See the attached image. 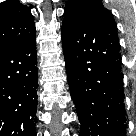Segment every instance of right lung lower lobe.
<instances>
[{
  "mask_svg": "<svg viewBox=\"0 0 136 136\" xmlns=\"http://www.w3.org/2000/svg\"><path fill=\"white\" fill-rule=\"evenodd\" d=\"M36 36L0 48V136H35Z\"/></svg>",
  "mask_w": 136,
  "mask_h": 136,
  "instance_id": "1",
  "label": "right lung lower lobe"
}]
</instances>
